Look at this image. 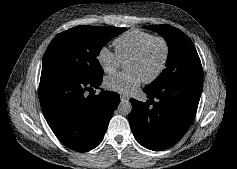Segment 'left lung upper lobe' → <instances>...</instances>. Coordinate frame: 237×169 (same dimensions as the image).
<instances>
[{
    "label": "left lung upper lobe",
    "mask_w": 237,
    "mask_h": 169,
    "mask_svg": "<svg viewBox=\"0 0 237 169\" xmlns=\"http://www.w3.org/2000/svg\"><path fill=\"white\" fill-rule=\"evenodd\" d=\"M161 34L169 47L166 68L148 88H155L172 82L203 78V69L198 53L191 40L179 29L169 25L145 26Z\"/></svg>",
    "instance_id": "left-lung-upper-lobe-1"
}]
</instances>
